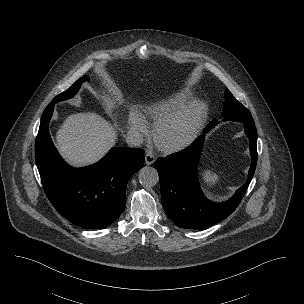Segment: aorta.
<instances>
[{
    "label": "aorta",
    "instance_id": "1",
    "mask_svg": "<svg viewBox=\"0 0 304 304\" xmlns=\"http://www.w3.org/2000/svg\"><path fill=\"white\" fill-rule=\"evenodd\" d=\"M139 182L144 187H153L159 181L158 172L155 168L150 166H145L139 171Z\"/></svg>",
    "mask_w": 304,
    "mask_h": 304
}]
</instances>
